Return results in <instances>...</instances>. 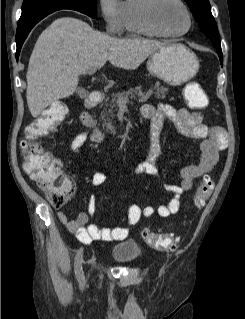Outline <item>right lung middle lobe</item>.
Masks as SVG:
<instances>
[{
    "label": "right lung middle lobe",
    "mask_w": 245,
    "mask_h": 319,
    "mask_svg": "<svg viewBox=\"0 0 245 319\" xmlns=\"http://www.w3.org/2000/svg\"><path fill=\"white\" fill-rule=\"evenodd\" d=\"M96 3L97 0H24L18 26L60 9H73L96 18Z\"/></svg>",
    "instance_id": "right-lung-middle-lobe-1"
}]
</instances>
